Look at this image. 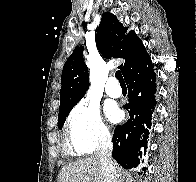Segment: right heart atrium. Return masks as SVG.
Masks as SVG:
<instances>
[{"label":"right heart atrium","instance_id":"right-heart-atrium-1","mask_svg":"<svg viewBox=\"0 0 196 182\" xmlns=\"http://www.w3.org/2000/svg\"><path fill=\"white\" fill-rule=\"evenodd\" d=\"M67 132L70 149L81 155L93 152L111 139L98 106L86 100L78 103L70 112Z\"/></svg>","mask_w":196,"mask_h":182}]
</instances>
